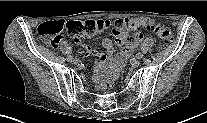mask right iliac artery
I'll return each instance as SVG.
<instances>
[{
	"mask_svg": "<svg viewBox=\"0 0 207 123\" xmlns=\"http://www.w3.org/2000/svg\"><path fill=\"white\" fill-rule=\"evenodd\" d=\"M72 59H73L72 56H68V57H67V60L70 61V62L72 61Z\"/></svg>",
	"mask_w": 207,
	"mask_h": 123,
	"instance_id": "right-iliac-artery-1",
	"label": "right iliac artery"
}]
</instances>
